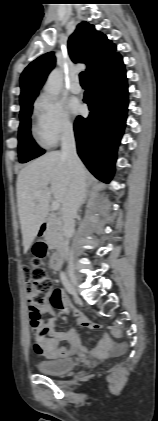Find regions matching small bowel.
I'll return each instance as SVG.
<instances>
[{
	"instance_id": "c3829d8e",
	"label": "small bowel",
	"mask_w": 158,
	"mask_h": 421,
	"mask_svg": "<svg viewBox=\"0 0 158 421\" xmlns=\"http://www.w3.org/2000/svg\"><path fill=\"white\" fill-rule=\"evenodd\" d=\"M63 312L72 314L76 319V325L68 330L57 329L58 314ZM40 314L49 315L48 319L39 320L31 326L34 337V350L47 358L55 359L67 356L71 349L66 346H59L63 341H69L73 348L80 346V340L77 336L78 329H96L97 326L81 312L74 310L71 301L60 288L52 290V296L49 302L39 308ZM111 340L108 336H101L96 351L104 353L109 350Z\"/></svg>"
}]
</instances>
